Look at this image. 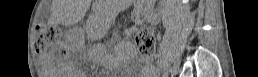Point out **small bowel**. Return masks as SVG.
<instances>
[{
    "label": "small bowel",
    "instance_id": "1",
    "mask_svg": "<svg viewBox=\"0 0 258 77\" xmlns=\"http://www.w3.org/2000/svg\"><path fill=\"white\" fill-rule=\"evenodd\" d=\"M143 73L146 75H151V74H154L155 71H152L149 68H144Z\"/></svg>",
    "mask_w": 258,
    "mask_h": 77
}]
</instances>
